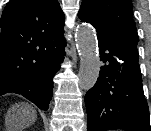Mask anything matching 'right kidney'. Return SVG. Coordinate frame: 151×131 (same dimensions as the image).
Instances as JSON below:
<instances>
[{
  "label": "right kidney",
  "instance_id": "right-kidney-1",
  "mask_svg": "<svg viewBox=\"0 0 151 131\" xmlns=\"http://www.w3.org/2000/svg\"><path fill=\"white\" fill-rule=\"evenodd\" d=\"M11 120L14 121L16 119V116L15 115H11ZM22 123V121H21ZM25 124H28V118L25 120ZM17 127H11L10 131H17Z\"/></svg>",
  "mask_w": 151,
  "mask_h": 131
}]
</instances>
